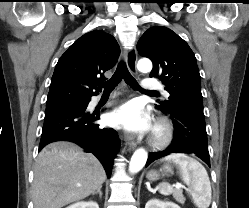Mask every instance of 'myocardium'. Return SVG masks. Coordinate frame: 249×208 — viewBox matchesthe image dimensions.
I'll list each match as a JSON object with an SVG mask.
<instances>
[{"label":"myocardium","instance_id":"1","mask_svg":"<svg viewBox=\"0 0 249 208\" xmlns=\"http://www.w3.org/2000/svg\"><path fill=\"white\" fill-rule=\"evenodd\" d=\"M172 137L173 130L171 124L165 119H160L153 131L151 144L155 147H163L171 141Z\"/></svg>","mask_w":249,"mask_h":208}]
</instances>
